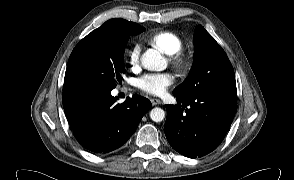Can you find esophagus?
Returning <instances> with one entry per match:
<instances>
[{
  "label": "esophagus",
  "instance_id": "1",
  "mask_svg": "<svg viewBox=\"0 0 294 180\" xmlns=\"http://www.w3.org/2000/svg\"><path fill=\"white\" fill-rule=\"evenodd\" d=\"M151 103H152V105H159V104H161L162 102H161V100H159V99H157V98H153V99H151Z\"/></svg>",
  "mask_w": 294,
  "mask_h": 180
}]
</instances>
